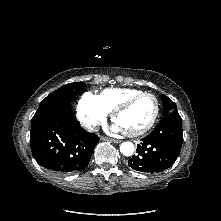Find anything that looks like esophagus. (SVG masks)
I'll return each mask as SVG.
<instances>
[{
  "mask_svg": "<svg viewBox=\"0 0 221 221\" xmlns=\"http://www.w3.org/2000/svg\"><path fill=\"white\" fill-rule=\"evenodd\" d=\"M101 140L102 141H109V142H112V143H120V140H116V139H111V138H108V137H101Z\"/></svg>",
  "mask_w": 221,
  "mask_h": 221,
  "instance_id": "34e87169",
  "label": "esophagus"
}]
</instances>
